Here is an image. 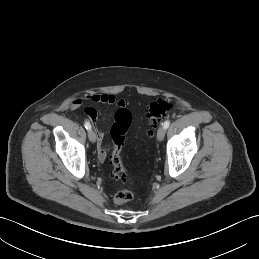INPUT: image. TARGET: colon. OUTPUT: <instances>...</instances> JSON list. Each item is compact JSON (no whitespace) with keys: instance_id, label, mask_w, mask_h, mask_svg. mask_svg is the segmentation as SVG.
Segmentation results:
<instances>
[{"instance_id":"colon-1","label":"colon","mask_w":259,"mask_h":259,"mask_svg":"<svg viewBox=\"0 0 259 259\" xmlns=\"http://www.w3.org/2000/svg\"><path fill=\"white\" fill-rule=\"evenodd\" d=\"M172 108V103L166 100H155L151 102L147 110V120L149 122V136H153V129L156 124L165 118ZM132 123V114L128 109L122 108L116 111L114 121L111 127V137L113 141V153L110 163L113 167V176L121 182H130V178L122 163V149L125 142L126 133ZM133 198V192L130 189H122L116 192L114 201L122 204Z\"/></svg>"}]
</instances>
